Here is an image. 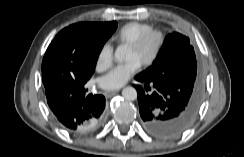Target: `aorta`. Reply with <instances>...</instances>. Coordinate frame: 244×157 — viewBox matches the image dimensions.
Masks as SVG:
<instances>
[{"mask_svg": "<svg viewBox=\"0 0 244 157\" xmlns=\"http://www.w3.org/2000/svg\"><path fill=\"white\" fill-rule=\"evenodd\" d=\"M125 56V50L121 47H118L115 51V59L119 62H123L125 60ZM122 96L127 101H134L137 99V91L133 87H125L122 90Z\"/></svg>", "mask_w": 244, "mask_h": 157, "instance_id": "aorta-1", "label": "aorta"}]
</instances>
